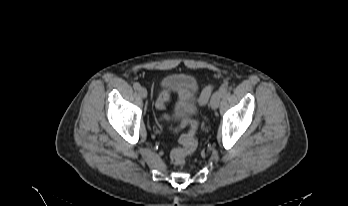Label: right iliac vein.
<instances>
[{"instance_id": "right-iliac-vein-1", "label": "right iliac vein", "mask_w": 348, "mask_h": 206, "mask_svg": "<svg viewBox=\"0 0 348 206\" xmlns=\"http://www.w3.org/2000/svg\"><path fill=\"white\" fill-rule=\"evenodd\" d=\"M138 93H139V95H140L142 98H146V97H147V90H146V88H144V87H140V88L138 89Z\"/></svg>"}]
</instances>
